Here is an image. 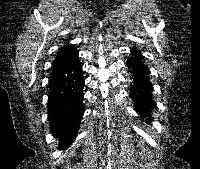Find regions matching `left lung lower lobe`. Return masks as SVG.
Returning <instances> with one entry per match:
<instances>
[{"label":"left lung lower lobe","instance_id":"0a47b994","mask_svg":"<svg viewBox=\"0 0 200 169\" xmlns=\"http://www.w3.org/2000/svg\"><path fill=\"white\" fill-rule=\"evenodd\" d=\"M132 58L127 61V66L132 68L134 85L131 87L130 97L134 102L136 111L142 116L151 113L154 106L152 85L149 81V70L142 62V55L132 49Z\"/></svg>","mask_w":200,"mask_h":169}]
</instances>
